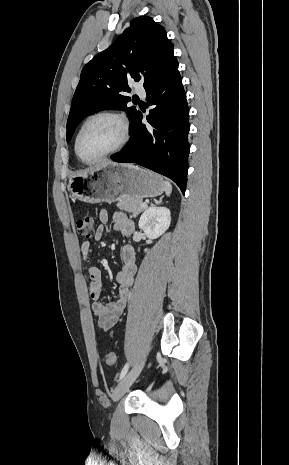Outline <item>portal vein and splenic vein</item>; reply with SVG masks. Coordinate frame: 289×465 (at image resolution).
<instances>
[{
    "label": "portal vein and splenic vein",
    "instance_id": "obj_1",
    "mask_svg": "<svg viewBox=\"0 0 289 465\" xmlns=\"http://www.w3.org/2000/svg\"><path fill=\"white\" fill-rule=\"evenodd\" d=\"M146 206H147V204H146V203H143V204H142V207H144V208H145Z\"/></svg>",
    "mask_w": 289,
    "mask_h": 465
}]
</instances>
